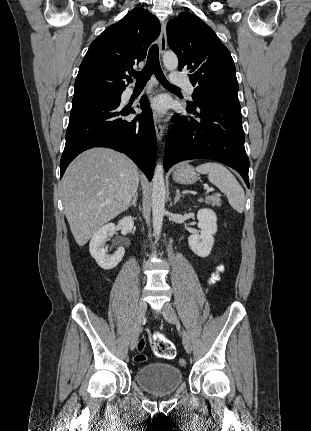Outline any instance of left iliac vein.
<instances>
[{
  "label": "left iliac vein",
  "mask_w": 311,
  "mask_h": 431,
  "mask_svg": "<svg viewBox=\"0 0 311 431\" xmlns=\"http://www.w3.org/2000/svg\"><path fill=\"white\" fill-rule=\"evenodd\" d=\"M161 312H162V315L165 318V320L168 321L169 323L176 324L178 322L177 315H176L173 307L171 306V304L165 303L162 307ZM182 342H183V346H184L186 352L191 353V351H192L191 340L185 331H183V333H182Z\"/></svg>",
  "instance_id": "4c4485c4"
}]
</instances>
